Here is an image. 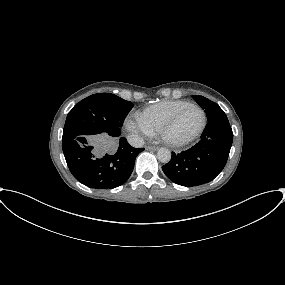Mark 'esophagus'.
<instances>
[{
    "mask_svg": "<svg viewBox=\"0 0 285 285\" xmlns=\"http://www.w3.org/2000/svg\"><path fill=\"white\" fill-rule=\"evenodd\" d=\"M146 150H157V147L156 146H147L146 148H145Z\"/></svg>",
    "mask_w": 285,
    "mask_h": 285,
    "instance_id": "obj_1",
    "label": "esophagus"
}]
</instances>
